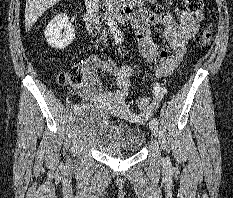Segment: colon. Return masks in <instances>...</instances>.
Wrapping results in <instances>:
<instances>
[{"instance_id": "obj_1", "label": "colon", "mask_w": 233, "mask_h": 198, "mask_svg": "<svg viewBox=\"0 0 233 198\" xmlns=\"http://www.w3.org/2000/svg\"><path fill=\"white\" fill-rule=\"evenodd\" d=\"M185 3L188 11L196 15V17L201 20L203 15V0H185ZM212 37V30L210 28H206L202 33L201 44L203 46H208ZM58 80L63 86L82 83L83 72L81 67L75 66L67 72L60 73ZM155 105V101L146 97H139L134 101L135 109L146 114L150 113L154 109Z\"/></svg>"}]
</instances>
